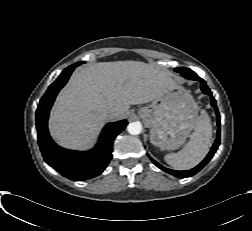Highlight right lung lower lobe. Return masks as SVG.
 I'll use <instances>...</instances> for the list:
<instances>
[{
	"label": "right lung lower lobe",
	"instance_id": "right-lung-lower-lobe-1",
	"mask_svg": "<svg viewBox=\"0 0 252 231\" xmlns=\"http://www.w3.org/2000/svg\"><path fill=\"white\" fill-rule=\"evenodd\" d=\"M79 65L77 62L62 71L41 98L36 111L38 142L44 160L62 176L73 181L96 177L105 170L112 158L113 141L128 124L126 120L107 124L97 145L87 152L66 150L53 142L47 126L49 111L59 90L66 84L75 67Z\"/></svg>",
	"mask_w": 252,
	"mask_h": 231
}]
</instances>
